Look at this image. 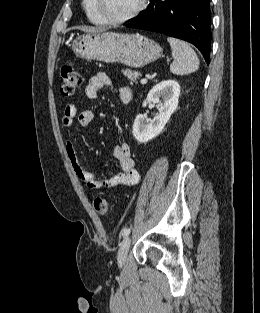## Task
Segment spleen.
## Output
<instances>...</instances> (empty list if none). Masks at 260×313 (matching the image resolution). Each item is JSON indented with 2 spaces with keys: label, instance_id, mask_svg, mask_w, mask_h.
<instances>
[{
  "label": "spleen",
  "instance_id": "3e777b00",
  "mask_svg": "<svg viewBox=\"0 0 260 313\" xmlns=\"http://www.w3.org/2000/svg\"><path fill=\"white\" fill-rule=\"evenodd\" d=\"M174 58L170 72L176 75H186L199 69V59L195 51L184 41L168 37Z\"/></svg>",
  "mask_w": 260,
  "mask_h": 313
}]
</instances>
